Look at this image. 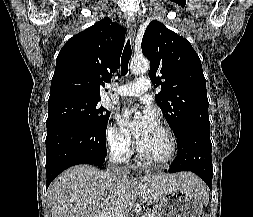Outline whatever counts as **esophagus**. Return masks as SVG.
<instances>
[{"label":"esophagus","mask_w":253,"mask_h":217,"mask_svg":"<svg viewBox=\"0 0 253 217\" xmlns=\"http://www.w3.org/2000/svg\"><path fill=\"white\" fill-rule=\"evenodd\" d=\"M127 28L131 37V41L133 42L136 35V22L134 17H128Z\"/></svg>","instance_id":"1"}]
</instances>
